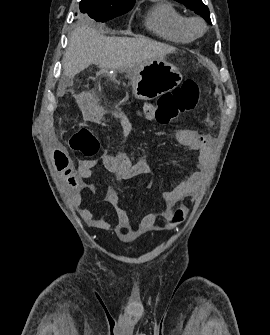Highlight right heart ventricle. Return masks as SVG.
Here are the masks:
<instances>
[{"label":"right heart ventricle","mask_w":270,"mask_h":335,"mask_svg":"<svg viewBox=\"0 0 270 335\" xmlns=\"http://www.w3.org/2000/svg\"><path fill=\"white\" fill-rule=\"evenodd\" d=\"M145 24L152 33L174 43H189L195 39L187 17L166 1H158L151 7Z\"/></svg>","instance_id":"1"}]
</instances>
